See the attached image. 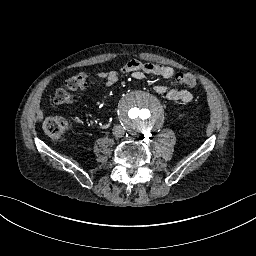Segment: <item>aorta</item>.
<instances>
[{
  "label": "aorta",
  "instance_id": "obj_1",
  "mask_svg": "<svg viewBox=\"0 0 256 256\" xmlns=\"http://www.w3.org/2000/svg\"><path fill=\"white\" fill-rule=\"evenodd\" d=\"M119 116L122 124L128 130L144 133L152 130L158 124L161 109L158 101L152 95L136 92L128 95L122 101Z\"/></svg>",
  "mask_w": 256,
  "mask_h": 256
}]
</instances>
